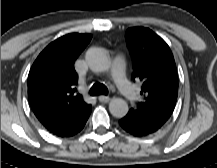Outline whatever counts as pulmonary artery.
<instances>
[{
	"label": "pulmonary artery",
	"instance_id": "obj_1",
	"mask_svg": "<svg viewBox=\"0 0 217 168\" xmlns=\"http://www.w3.org/2000/svg\"><path fill=\"white\" fill-rule=\"evenodd\" d=\"M111 74L123 99L128 102L133 101L136 98V92L125 78V60L122 55L114 58Z\"/></svg>",
	"mask_w": 217,
	"mask_h": 168
}]
</instances>
